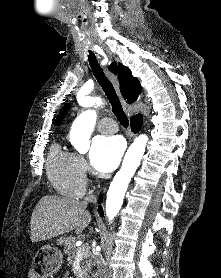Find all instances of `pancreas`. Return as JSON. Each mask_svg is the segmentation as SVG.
I'll list each match as a JSON object with an SVG mask.
<instances>
[{"label": "pancreas", "instance_id": "pancreas-1", "mask_svg": "<svg viewBox=\"0 0 221 278\" xmlns=\"http://www.w3.org/2000/svg\"><path fill=\"white\" fill-rule=\"evenodd\" d=\"M76 238L73 236L69 237H60L58 239V243L64 246V252L68 255V264H72L77 257L78 251L80 247H76L74 245ZM92 254L90 252V248L86 245V249L82 254L81 262H82V273L84 275L83 278H87L88 273L91 272L93 261H92Z\"/></svg>", "mask_w": 221, "mask_h": 278}]
</instances>
